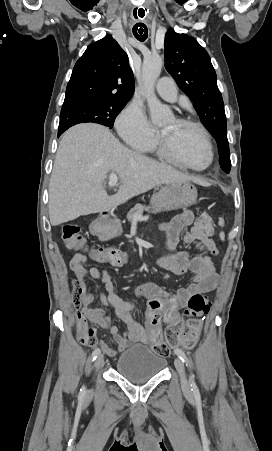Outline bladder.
Wrapping results in <instances>:
<instances>
[{
	"instance_id": "31cf9c89",
	"label": "bladder",
	"mask_w": 272,
	"mask_h": 451,
	"mask_svg": "<svg viewBox=\"0 0 272 451\" xmlns=\"http://www.w3.org/2000/svg\"><path fill=\"white\" fill-rule=\"evenodd\" d=\"M167 365V359L146 345L136 344L125 350L116 361L118 376L134 384L145 382L159 375Z\"/></svg>"
}]
</instances>
